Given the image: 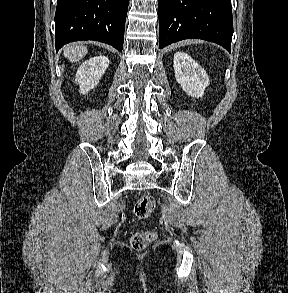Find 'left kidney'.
I'll return each instance as SVG.
<instances>
[{"instance_id": "5707ae66", "label": "left kidney", "mask_w": 288, "mask_h": 293, "mask_svg": "<svg viewBox=\"0 0 288 293\" xmlns=\"http://www.w3.org/2000/svg\"><path fill=\"white\" fill-rule=\"evenodd\" d=\"M173 66L175 78L183 91L194 98L202 97L205 88L210 84L206 71L183 52L175 53Z\"/></svg>"}]
</instances>
